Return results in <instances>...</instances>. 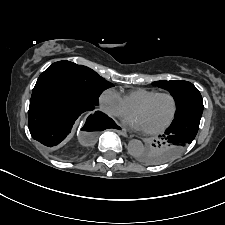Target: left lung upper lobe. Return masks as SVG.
<instances>
[{"instance_id": "obj_1", "label": "left lung upper lobe", "mask_w": 225, "mask_h": 225, "mask_svg": "<svg viewBox=\"0 0 225 225\" xmlns=\"http://www.w3.org/2000/svg\"><path fill=\"white\" fill-rule=\"evenodd\" d=\"M152 84L168 90L173 96L177 107L175 119L173 121L191 114H202V97L199 90L192 83L187 81L161 80L153 82ZM172 144H174L172 140L160 136V139L141 152L137 156V159L146 164L157 165L158 162L154 158L172 150ZM184 149L185 148H183L181 152Z\"/></svg>"}]
</instances>
